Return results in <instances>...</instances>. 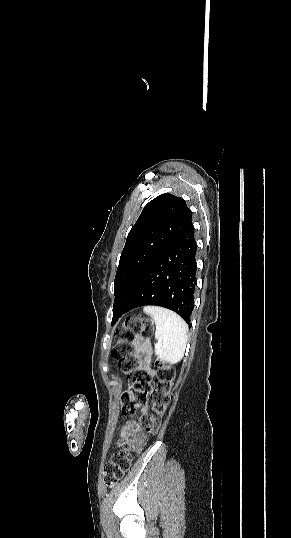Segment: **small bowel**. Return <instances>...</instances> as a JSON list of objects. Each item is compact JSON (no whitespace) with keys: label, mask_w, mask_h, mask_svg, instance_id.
<instances>
[{"label":"small bowel","mask_w":291,"mask_h":538,"mask_svg":"<svg viewBox=\"0 0 291 538\" xmlns=\"http://www.w3.org/2000/svg\"><path fill=\"white\" fill-rule=\"evenodd\" d=\"M129 439L136 449H140L142 447L145 439L144 434L138 430L136 424L133 421H127L126 424L122 427L119 443L125 442Z\"/></svg>","instance_id":"c3829d8e"}]
</instances>
